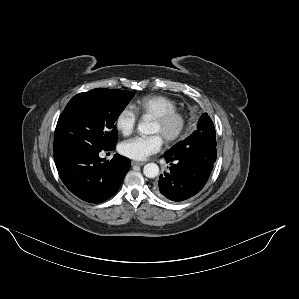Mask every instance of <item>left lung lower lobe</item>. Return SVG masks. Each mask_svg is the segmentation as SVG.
I'll return each mask as SVG.
<instances>
[{
  "instance_id": "0a47b994",
  "label": "left lung lower lobe",
  "mask_w": 299,
  "mask_h": 299,
  "mask_svg": "<svg viewBox=\"0 0 299 299\" xmlns=\"http://www.w3.org/2000/svg\"><path fill=\"white\" fill-rule=\"evenodd\" d=\"M186 147L173 155H165L170 170L159 177L156 194L164 199L179 202L196 195L206 184L216 160L212 158L208 142Z\"/></svg>"
}]
</instances>
